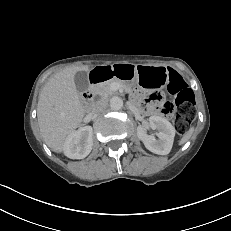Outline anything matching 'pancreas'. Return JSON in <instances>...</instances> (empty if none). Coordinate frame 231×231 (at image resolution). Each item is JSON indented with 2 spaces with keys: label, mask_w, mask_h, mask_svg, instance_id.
I'll return each mask as SVG.
<instances>
[{
  "label": "pancreas",
  "mask_w": 231,
  "mask_h": 231,
  "mask_svg": "<svg viewBox=\"0 0 231 231\" xmlns=\"http://www.w3.org/2000/svg\"><path fill=\"white\" fill-rule=\"evenodd\" d=\"M118 84L120 87H123L127 92H130V87H128L127 85L124 84V82L118 80V79H114L108 82H105L103 84L100 85L99 87V92L102 96H108L109 94L112 93V89L111 86L112 84Z\"/></svg>",
  "instance_id": "1"
}]
</instances>
